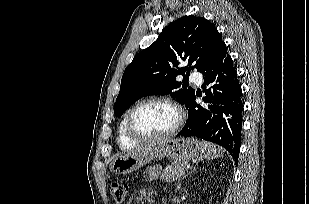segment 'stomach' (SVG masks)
Returning <instances> with one entry per match:
<instances>
[{"label": "stomach", "mask_w": 309, "mask_h": 204, "mask_svg": "<svg viewBox=\"0 0 309 204\" xmlns=\"http://www.w3.org/2000/svg\"><path fill=\"white\" fill-rule=\"evenodd\" d=\"M202 152V145L195 138L164 139L152 146L117 157L112 161L110 169L115 174H127L156 158L167 157L184 162L198 157Z\"/></svg>", "instance_id": "0dacf381"}]
</instances>
